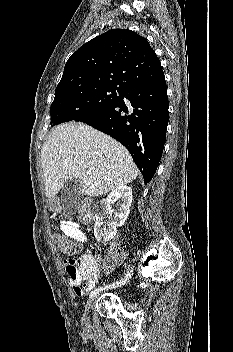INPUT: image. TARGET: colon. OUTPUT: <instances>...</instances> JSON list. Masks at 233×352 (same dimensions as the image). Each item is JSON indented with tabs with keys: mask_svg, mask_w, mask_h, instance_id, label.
Returning a JSON list of instances; mask_svg holds the SVG:
<instances>
[{
	"mask_svg": "<svg viewBox=\"0 0 233 352\" xmlns=\"http://www.w3.org/2000/svg\"><path fill=\"white\" fill-rule=\"evenodd\" d=\"M78 218L82 223H91L94 220V214L91 209L90 201L84 200L78 210ZM55 241L59 249L66 255L72 257L79 253L81 246L78 242L62 235H55ZM96 270L95 265L86 267L79 266L77 271L80 275L88 276Z\"/></svg>",
	"mask_w": 233,
	"mask_h": 352,
	"instance_id": "colon-1",
	"label": "colon"
}]
</instances>
